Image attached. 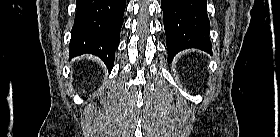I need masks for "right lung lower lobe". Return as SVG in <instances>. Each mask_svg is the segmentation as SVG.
<instances>
[{
	"label": "right lung lower lobe",
	"mask_w": 280,
	"mask_h": 137,
	"mask_svg": "<svg viewBox=\"0 0 280 137\" xmlns=\"http://www.w3.org/2000/svg\"><path fill=\"white\" fill-rule=\"evenodd\" d=\"M126 0H76L77 12L70 40L71 57L85 53L114 65Z\"/></svg>",
	"instance_id": "obj_1"
}]
</instances>
